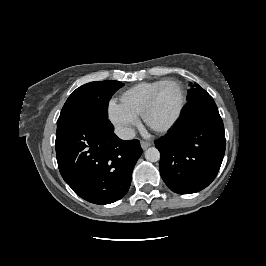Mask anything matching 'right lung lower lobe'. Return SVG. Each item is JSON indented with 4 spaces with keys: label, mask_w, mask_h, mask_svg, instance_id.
I'll return each mask as SVG.
<instances>
[{
    "label": "right lung lower lobe",
    "mask_w": 266,
    "mask_h": 266,
    "mask_svg": "<svg viewBox=\"0 0 266 266\" xmlns=\"http://www.w3.org/2000/svg\"><path fill=\"white\" fill-rule=\"evenodd\" d=\"M107 116L89 114L56 136L59 171L81 198L94 204L121 199L142 154L138 140H121Z\"/></svg>",
    "instance_id": "obj_1"
}]
</instances>
